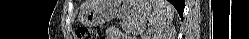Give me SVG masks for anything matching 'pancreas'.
Segmentation results:
<instances>
[{
  "mask_svg": "<svg viewBox=\"0 0 249 39\" xmlns=\"http://www.w3.org/2000/svg\"><path fill=\"white\" fill-rule=\"evenodd\" d=\"M120 26L125 32L133 34H140L144 29L143 22L139 20L123 19Z\"/></svg>",
  "mask_w": 249,
  "mask_h": 39,
  "instance_id": "1",
  "label": "pancreas"
}]
</instances>
